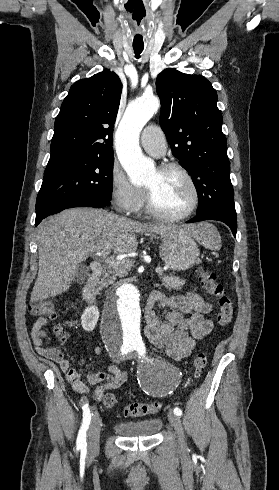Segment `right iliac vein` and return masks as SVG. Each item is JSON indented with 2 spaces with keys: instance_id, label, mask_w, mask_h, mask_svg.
<instances>
[{
  "instance_id": "obj_1",
  "label": "right iliac vein",
  "mask_w": 279,
  "mask_h": 490,
  "mask_svg": "<svg viewBox=\"0 0 279 490\" xmlns=\"http://www.w3.org/2000/svg\"><path fill=\"white\" fill-rule=\"evenodd\" d=\"M101 431V422L97 411L94 409L92 420L88 432L87 453L89 456L97 454L99 449V436Z\"/></svg>"
}]
</instances>
